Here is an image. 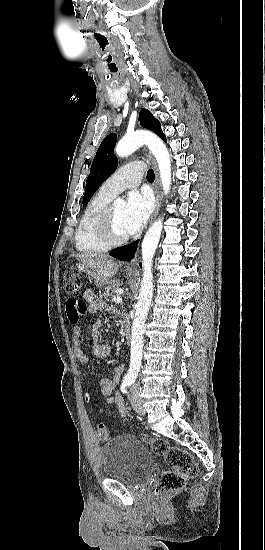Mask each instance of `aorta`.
I'll return each instance as SVG.
<instances>
[{"mask_svg":"<svg viewBox=\"0 0 265 550\" xmlns=\"http://www.w3.org/2000/svg\"><path fill=\"white\" fill-rule=\"evenodd\" d=\"M142 145H147L154 155L158 163L163 191L167 194L171 186V162L168 149L161 139L149 132L127 134L116 145L115 152L120 157H126ZM116 202L122 204L123 200L118 199ZM162 228L163 218H159L148 229L142 242L143 274L139 300L132 323L129 374H137L141 366L144 325L153 297L152 261L160 240Z\"/></svg>","mask_w":265,"mask_h":550,"instance_id":"762f6f07","label":"aorta"}]
</instances>
